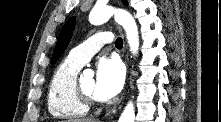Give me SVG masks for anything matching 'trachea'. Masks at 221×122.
Segmentation results:
<instances>
[{
    "label": "trachea",
    "instance_id": "trachea-1",
    "mask_svg": "<svg viewBox=\"0 0 221 122\" xmlns=\"http://www.w3.org/2000/svg\"><path fill=\"white\" fill-rule=\"evenodd\" d=\"M122 44H123L122 38H117V40L115 41V46L120 49L122 48Z\"/></svg>",
    "mask_w": 221,
    "mask_h": 122
}]
</instances>
